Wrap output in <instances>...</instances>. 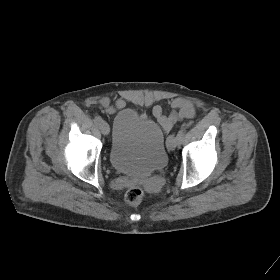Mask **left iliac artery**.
I'll return each instance as SVG.
<instances>
[{
  "label": "left iliac artery",
  "mask_w": 280,
  "mask_h": 280,
  "mask_svg": "<svg viewBox=\"0 0 280 280\" xmlns=\"http://www.w3.org/2000/svg\"><path fill=\"white\" fill-rule=\"evenodd\" d=\"M185 128L184 127H182L179 131H178V133H177V137H178V139H179V142L183 139V137H184V135H185Z\"/></svg>",
  "instance_id": "obj_1"
}]
</instances>
